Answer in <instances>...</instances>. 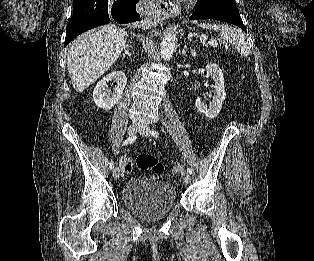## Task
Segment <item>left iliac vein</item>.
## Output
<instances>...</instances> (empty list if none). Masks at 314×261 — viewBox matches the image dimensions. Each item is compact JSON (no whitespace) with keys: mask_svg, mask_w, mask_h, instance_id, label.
<instances>
[{"mask_svg":"<svg viewBox=\"0 0 314 261\" xmlns=\"http://www.w3.org/2000/svg\"><path fill=\"white\" fill-rule=\"evenodd\" d=\"M139 133L145 137H148L150 136V129L148 126H140ZM183 180L186 184H189L191 182V176L188 172L183 173Z\"/></svg>","mask_w":314,"mask_h":261,"instance_id":"1","label":"left iliac vein"}]
</instances>
